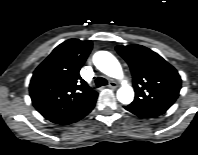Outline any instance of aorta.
I'll return each instance as SVG.
<instances>
[{
    "instance_id": "obj_1",
    "label": "aorta",
    "mask_w": 198,
    "mask_h": 155,
    "mask_svg": "<svg viewBox=\"0 0 198 155\" xmlns=\"http://www.w3.org/2000/svg\"><path fill=\"white\" fill-rule=\"evenodd\" d=\"M93 63L98 70L109 77L121 79L122 67L114 55L108 51H98L93 55ZM117 99L122 104H130L134 99L133 88L124 83L117 91Z\"/></svg>"
}]
</instances>
